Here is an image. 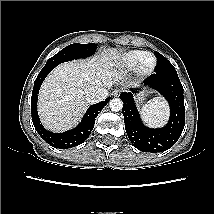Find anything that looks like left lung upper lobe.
I'll return each instance as SVG.
<instances>
[{"instance_id": "obj_1", "label": "left lung upper lobe", "mask_w": 214, "mask_h": 214, "mask_svg": "<svg viewBox=\"0 0 214 214\" xmlns=\"http://www.w3.org/2000/svg\"><path fill=\"white\" fill-rule=\"evenodd\" d=\"M155 55L157 57V67L155 72H176L173 65L164 56L158 52H155Z\"/></svg>"}]
</instances>
